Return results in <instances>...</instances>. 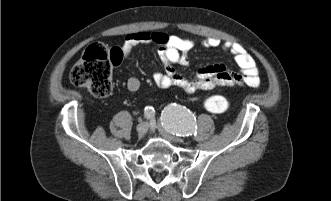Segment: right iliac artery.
<instances>
[{"label": "right iliac artery", "mask_w": 331, "mask_h": 201, "mask_svg": "<svg viewBox=\"0 0 331 201\" xmlns=\"http://www.w3.org/2000/svg\"><path fill=\"white\" fill-rule=\"evenodd\" d=\"M144 114L146 119H153L155 116V110L153 107L148 106L145 108Z\"/></svg>", "instance_id": "1"}]
</instances>
